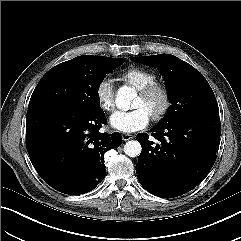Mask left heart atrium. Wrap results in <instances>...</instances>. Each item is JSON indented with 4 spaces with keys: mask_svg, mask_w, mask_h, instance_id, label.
Instances as JSON below:
<instances>
[{
    "mask_svg": "<svg viewBox=\"0 0 241 241\" xmlns=\"http://www.w3.org/2000/svg\"><path fill=\"white\" fill-rule=\"evenodd\" d=\"M150 121L149 113L142 107L130 111H117L110 117V124L118 131L131 133L144 129Z\"/></svg>",
    "mask_w": 241,
    "mask_h": 241,
    "instance_id": "left-heart-atrium-1",
    "label": "left heart atrium"
}]
</instances>
